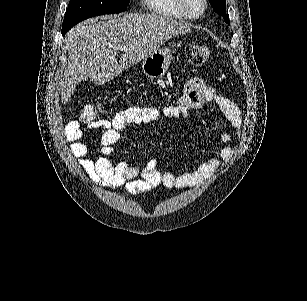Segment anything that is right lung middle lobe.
Masks as SVG:
<instances>
[{"mask_svg": "<svg viewBox=\"0 0 307 301\" xmlns=\"http://www.w3.org/2000/svg\"><path fill=\"white\" fill-rule=\"evenodd\" d=\"M128 5L129 0H70L62 25V35L87 18L120 13Z\"/></svg>", "mask_w": 307, "mask_h": 301, "instance_id": "dd1d6c3e", "label": "right lung middle lobe"}]
</instances>
